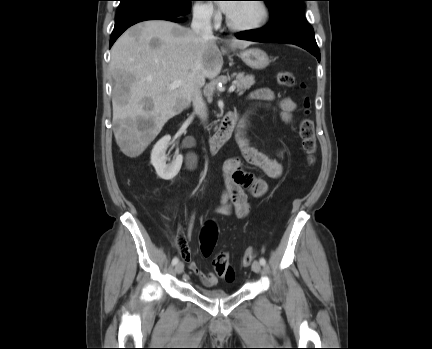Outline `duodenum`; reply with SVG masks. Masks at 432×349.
<instances>
[{"instance_id":"duodenum-1","label":"duodenum","mask_w":432,"mask_h":349,"mask_svg":"<svg viewBox=\"0 0 432 349\" xmlns=\"http://www.w3.org/2000/svg\"><path fill=\"white\" fill-rule=\"evenodd\" d=\"M237 125V117L234 113H227L220 125L219 131L210 139L209 147L213 154H217L232 137Z\"/></svg>"}]
</instances>
